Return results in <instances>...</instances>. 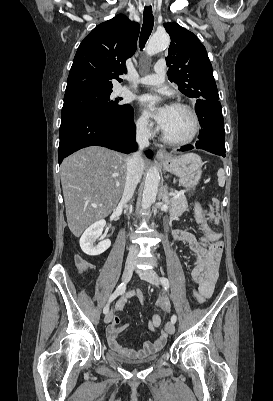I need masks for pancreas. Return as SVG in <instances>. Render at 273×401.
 I'll return each instance as SVG.
<instances>
[{"label": "pancreas", "mask_w": 273, "mask_h": 401, "mask_svg": "<svg viewBox=\"0 0 273 401\" xmlns=\"http://www.w3.org/2000/svg\"><path fill=\"white\" fill-rule=\"evenodd\" d=\"M166 205H171L169 211L171 219H174V217H181L182 213L188 209V203L185 194H183V196L177 200H174V196H172V198H168V203H166Z\"/></svg>", "instance_id": "cf45deb5"}]
</instances>
